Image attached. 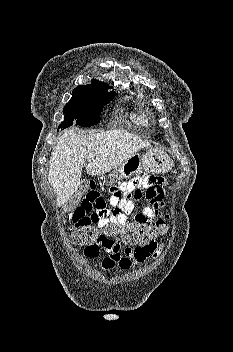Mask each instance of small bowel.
Instances as JSON below:
<instances>
[{
    "mask_svg": "<svg viewBox=\"0 0 233 352\" xmlns=\"http://www.w3.org/2000/svg\"><path fill=\"white\" fill-rule=\"evenodd\" d=\"M80 193L81 203L72 216L76 228L89 221L96 223L102 230L111 225L118 227L150 225L164 205L162 179L154 176H137L120 186L111 187L108 201L91 180L83 182ZM142 198L148 202V205L130 219L135 209L133 200ZM108 203L112 210L108 208ZM157 247V243L153 241L147 245L127 246L121 249L119 238H111L94 246L85 247L84 255L89 259H95L101 252H105L106 255L100 261L103 270H111L115 267L129 269L155 256Z\"/></svg>",
    "mask_w": 233,
    "mask_h": 352,
    "instance_id": "1",
    "label": "small bowel"
}]
</instances>
